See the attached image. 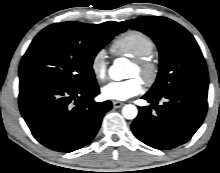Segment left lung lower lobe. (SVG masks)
<instances>
[{
    "label": "left lung lower lobe",
    "instance_id": "obj_1",
    "mask_svg": "<svg viewBox=\"0 0 220 173\" xmlns=\"http://www.w3.org/2000/svg\"><path fill=\"white\" fill-rule=\"evenodd\" d=\"M150 106L140 108L131 125L134 135L150 147L169 150L186 143L201 126L207 111V91L179 89L162 96L142 97ZM165 99L157 106L158 100Z\"/></svg>",
    "mask_w": 220,
    "mask_h": 173
}]
</instances>
